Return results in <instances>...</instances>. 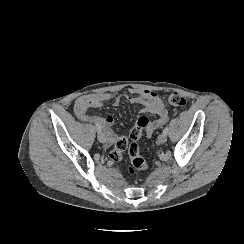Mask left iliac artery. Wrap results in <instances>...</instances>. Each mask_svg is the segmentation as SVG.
<instances>
[{
    "mask_svg": "<svg viewBox=\"0 0 244 244\" xmlns=\"http://www.w3.org/2000/svg\"><path fill=\"white\" fill-rule=\"evenodd\" d=\"M168 131H169V127L166 126V127L164 128V130H163V133L167 135V134H168Z\"/></svg>",
    "mask_w": 244,
    "mask_h": 244,
    "instance_id": "left-iliac-artery-1",
    "label": "left iliac artery"
}]
</instances>
